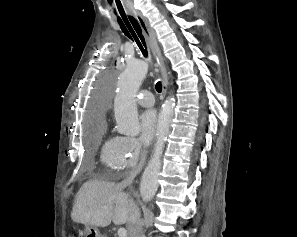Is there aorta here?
<instances>
[{
    "label": "aorta",
    "mask_w": 297,
    "mask_h": 237,
    "mask_svg": "<svg viewBox=\"0 0 297 237\" xmlns=\"http://www.w3.org/2000/svg\"><path fill=\"white\" fill-rule=\"evenodd\" d=\"M148 73V64L140 59L127 63L125 70L118 77V93L114 99V113L117 131L128 136H137L141 131L138 119L136 94ZM175 108L174 97L168 98L162 106L157 127V141L141 182L140 194L144 202H150L158 188L159 172L161 169V156L164 143L169 134Z\"/></svg>",
    "instance_id": "1"
}]
</instances>
